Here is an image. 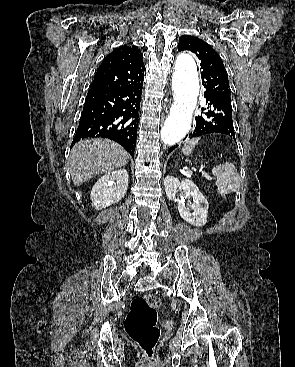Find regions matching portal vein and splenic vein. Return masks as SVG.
I'll use <instances>...</instances> for the list:
<instances>
[{"mask_svg": "<svg viewBox=\"0 0 295 367\" xmlns=\"http://www.w3.org/2000/svg\"><path fill=\"white\" fill-rule=\"evenodd\" d=\"M201 174H202V176L203 177H205L208 181H212L213 180V178L209 175V174H207L205 171H201Z\"/></svg>", "mask_w": 295, "mask_h": 367, "instance_id": "portal-vein-and-splenic-vein-1", "label": "portal vein and splenic vein"}]
</instances>
